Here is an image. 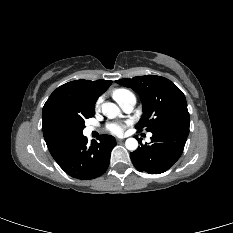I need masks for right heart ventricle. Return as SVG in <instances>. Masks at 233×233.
Listing matches in <instances>:
<instances>
[{
    "instance_id": "e07e8e85",
    "label": "right heart ventricle",
    "mask_w": 233,
    "mask_h": 233,
    "mask_svg": "<svg viewBox=\"0 0 233 233\" xmlns=\"http://www.w3.org/2000/svg\"><path fill=\"white\" fill-rule=\"evenodd\" d=\"M112 96L119 104L127 98H135L134 94L130 90L125 88L115 89L112 92Z\"/></svg>"
}]
</instances>
